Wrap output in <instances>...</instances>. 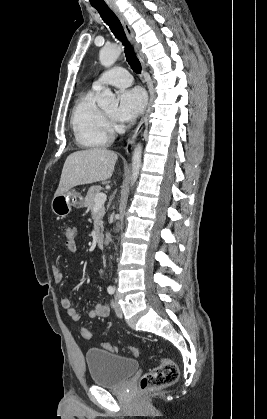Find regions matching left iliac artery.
I'll return each instance as SVG.
<instances>
[{"mask_svg": "<svg viewBox=\"0 0 267 419\" xmlns=\"http://www.w3.org/2000/svg\"><path fill=\"white\" fill-rule=\"evenodd\" d=\"M112 307H114V303L112 302Z\"/></svg>", "mask_w": 267, "mask_h": 419, "instance_id": "obj_1", "label": "left iliac artery"}]
</instances>
